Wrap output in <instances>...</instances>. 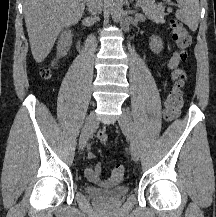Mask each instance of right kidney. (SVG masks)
Instances as JSON below:
<instances>
[{
  "label": "right kidney",
  "mask_w": 216,
  "mask_h": 217,
  "mask_svg": "<svg viewBox=\"0 0 216 217\" xmlns=\"http://www.w3.org/2000/svg\"><path fill=\"white\" fill-rule=\"evenodd\" d=\"M72 33L70 30L64 31L58 40L57 55L63 57L67 54L72 44Z\"/></svg>",
  "instance_id": "ca27d5eb"
}]
</instances>
